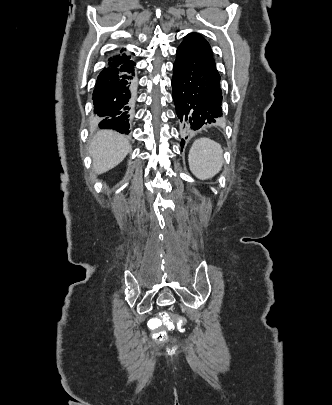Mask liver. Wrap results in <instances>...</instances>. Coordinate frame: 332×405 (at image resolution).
<instances>
[{
	"instance_id": "6515ba94",
	"label": "liver",
	"mask_w": 332,
	"mask_h": 405,
	"mask_svg": "<svg viewBox=\"0 0 332 405\" xmlns=\"http://www.w3.org/2000/svg\"><path fill=\"white\" fill-rule=\"evenodd\" d=\"M130 150L131 146L124 135L112 130L97 132L89 148L95 173L102 174L113 169Z\"/></svg>"
}]
</instances>
